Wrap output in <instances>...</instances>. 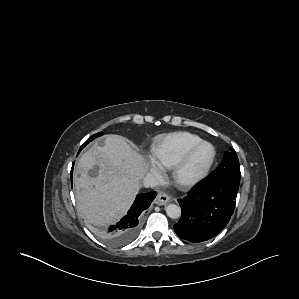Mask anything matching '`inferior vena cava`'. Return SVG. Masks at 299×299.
I'll return each instance as SVG.
<instances>
[{
  "label": "inferior vena cava",
  "instance_id": "inferior-vena-cava-1",
  "mask_svg": "<svg viewBox=\"0 0 299 299\" xmlns=\"http://www.w3.org/2000/svg\"><path fill=\"white\" fill-rule=\"evenodd\" d=\"M143 184L145 187H157L159 184L158 179L153 174H146L143 179Z\"/></svg>",
  "mask_w": 299,
  "mask_h": 299
}]
</instances>
